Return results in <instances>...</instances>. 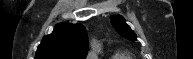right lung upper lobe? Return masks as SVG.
I'll list each match as a JSON object with an SVG mask.
<instances>
[{
    "label": "right lung upper lobe",
    "mask_w": 193,
    "mask_h": 59,
    "mask_svg": "<svg viewBox=\"0 0 193 59\" xmlns=\"http://www.w3.org/2000/svg\"><path fill=\"white\" fill-rule=\"evenodd\" d=\"M88 36L81 24H58L54 31L43 37L35 59H85Z\"/></svg>",
    "instance_id": "right-lung-upper-lobe-1"
}]
</instances>
